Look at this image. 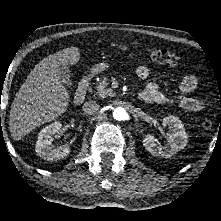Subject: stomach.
Wrapping results in <instances>:
<instances>
[{
  "instance_id": "obj_1",
  "label": "stomach",
  "mask_w": 221,
  "mask_h": 221,
  "mask_svg": "<svg viewBox=\"0 0 221 221\" xmlns=\"http://www.w3.org/2000/svg\"><path fill=\"white\" fill-rule=\"evenodd\" d=\"M108 67L109 65L107 63H98L91 69V73L93 75L99 74L108 69Z\"/></svg>"
}]
</instances>
